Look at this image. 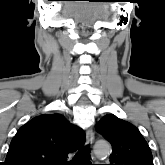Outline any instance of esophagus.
Here are the masks:
<instances>
[{
	"label": "esophagus",
	"instance_id": "1",
	"mask_svg": "<svg viewBox=\"0 0 165 165\" xmlns=\"http://www.w3.org/2000/svg\"><path fill=\"white\" fill-rule=\"evenodd\" d=\"M93 142H94V132L92 129H87L86 144H92Z\"/></svg>",
	"mask_w": 165,
	"mask_h": 165
}]
</instances>
